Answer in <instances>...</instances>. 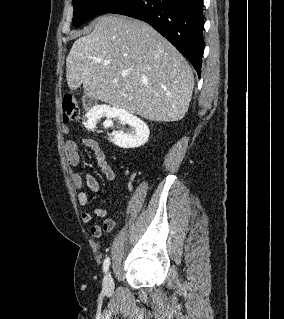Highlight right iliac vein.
Masks as SVG:
<instances>
[{
    "label": "right iliac vein",
    "mask_w": 284,
    "mask_h": 319,
    "mask_svg": "<svg viewBox=\"0 0 284 319\" xmlns=\"http://www.w3.org/2000/svg\"><path fill=\"white\" fill-rule=\"evenodd\" d=\"M114 289V282H113V278L110 272H108L103 280V290L105 291V293L107 294H111L113 292Z\"/></svg>",
    "instance_id": "63e3f726"
}]
</instances>
